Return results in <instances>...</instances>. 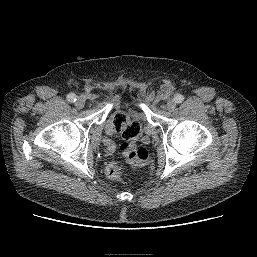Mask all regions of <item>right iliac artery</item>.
<instances>
[{"label": "right iliac artery", "instance_id": "obj_1", "mask_svg": "<svg viewBox=\"0 0 257 257\" xmlns=\"http://www.w3.org/2000/svg\"><path fill=\"white\" fill-rule=\"evenodd\" d=\"M67 100L69 101V102H75L76 101V95L74 94V93H70V94H68L67 95Z\"/></svg>", "mask_w": 257, "mask_h": 257}]
</instances>
